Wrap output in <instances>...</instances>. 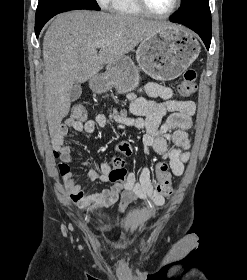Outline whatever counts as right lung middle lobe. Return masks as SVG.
Listing matches in <instances>:
<instances>
[{"instance_id":"right-lung-middle-lobe-1","label":"right lung middle lobe","mask_w":247,"mask_h":280,"mask_svg":"<svg viewBox=\"0 0 247 280\" xmlns=\"http://www.w3.org/2000/svg\"><path fill=\"white\" fill-rule=\"evenodd\" d=\"M76 9L100 10L96 0H39L35 25L45 24L58 13Z\"/></svg>"}]
</instances>
